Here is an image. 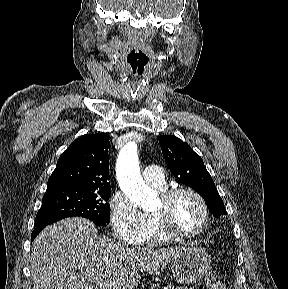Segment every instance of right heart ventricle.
Listing matches in <instances>:
<instances>
[{
	"instance_id": "e07e8e85",
	"label": "right heart ventricle",
	"mask_w": 288,
	"mask_h": 289,
	"mask_svg": "<svg viewBox=\"0 0 288 289\" xmlns=\"http://www.w3.org/2000/svg\"><path fill=\"white\" fill-rule=\"evenodd\" d=\"M161 190H163V188ZM148 218L150 220V232H149V235L145 239L144 242H147V243H151V242L165 243V242L170 241V239L159 230L153 216H149Z\"/></svg>"
}]
</instances>
